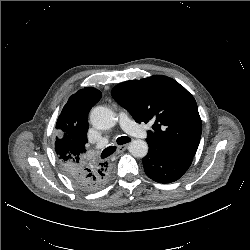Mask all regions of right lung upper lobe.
Instances as JSON below:
<instances>
[{
  "label": "right lung upper lobe",
  "instance_id": "obj_1",
  "mask_svg": "<svg viewBox=\"0 0 250 250\" xmlns=\"http://www.w3.org/2000/svg\"><path fill=\"white\" fill-rule=\"evenodd\" d=\"M101 98V92L85 87L72 95L62 109L56 123L57 137L55 151L64 169L83 166L99 167L84 159L88 131V113Z\"/></svg>",
  "mask_w": 250,
  "mask_h": 250
}]
</instances>
